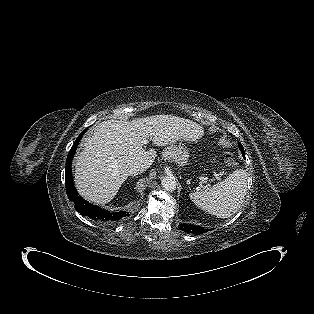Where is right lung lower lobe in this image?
Listing matches in <instances>:
<instances>
[{"mask_svg": "<svg viewBox=\"0 0 314 314\" xmlns=\"http://www.w3.org/2000/svg\"><path fill=\"white\" fill-rule=\"evenodd\" d=\"M86 129L79 135V137L75 140L66 160V166H65V187L68 198L74 202L75 209L83 216H88L92 218L93 220H99L101 222H116L123 217L128 215V212L126 211H119V212H109L108 210H104L102 208H99L95 205H92L88 202H86L83 198H81L77 191L74 188L73 180H72V174H71V164L72 159L75 153V150L77 148V145L84 135Z\"/></svg>", "mask_w": 314, "mask_h": 314, "instance_id": "1", "label": "right lung lower lobe"}]
</instances>
